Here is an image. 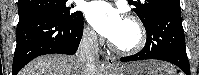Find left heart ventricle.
Instances as JSON below:
<instances>
[{"instance_id":"b2bd125f","label":"left heart ventricle","mask_w":199,"mask_h":75,"mask_svg":"<svg viewBox=\"0 0 199 75\" xmlns=\"http://www.w3.org/2000/svg\"><path fill=\"white\" fill-rule=\"evenodd\" d=\"M137 41V30L129 22H125L120 34L113 41L120 46H131Z\"/></svg>"}]
</instances>
